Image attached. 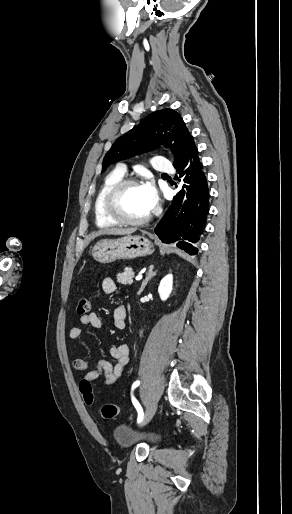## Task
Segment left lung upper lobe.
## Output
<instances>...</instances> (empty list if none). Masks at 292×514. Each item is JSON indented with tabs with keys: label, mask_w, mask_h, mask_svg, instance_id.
Wrapping results in <instances>:
<instances>
[{
	"label": "left lung upper lobe",
	"mask_w": 292,
	"mask_h": 514,
	"mask_svg": "<svg viewBox=\"0 0 292 514\" xmlns=\"http://www.w3.org/2000/svg\"><path fill=\"white\" fill-rule=\"evenodd\" d=\"M193 142V137L176 111L158 110L149 114L138 126L115 141L104 157L102 172L112 163L154 149L157 143L173 150L176 167Z\"/></svg>",
	"instance_id": "5c2ea615"
}]
</instances>
